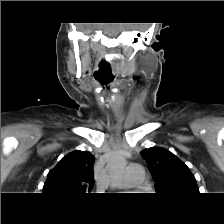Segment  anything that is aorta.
Listing matches in <instances>:
<instances>
[{
    "label": "aorta",
    "instance_id": "1",
    "mask_svg": "<svg viewBox=\"0 0 224 224\" xmlns=\"http://www.w3.org/2000/svg\"><path fill=\"white\" fill-rule=\"evenodd\" d=\"M127 162L122 155H114L107 164V173L112 182L119 181L125 172Z\"/></svg>",
    "mask_w": 224,
    "mask_h": 224
}]
</instances>
